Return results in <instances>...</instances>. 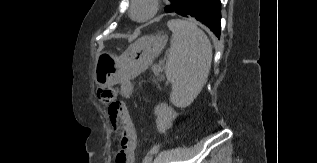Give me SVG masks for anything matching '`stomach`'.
<instances>
[{"mask_svg": "<svg viewBox=\"0 0 317 163\" xmlns=\"http://www.w3.org/2000/svg\"><path fill=\"white\" fill-rule=\"evenodd\" d=\"M167 42L165 35H147L131 44L120 56L99 54L94 78L98 86H111L137 76L160 54Z\"/></svg>", "mask_w": 317, "mask_h": 163, "instance_id": "0dacf381", "label": "stomach"}]
</instances>
